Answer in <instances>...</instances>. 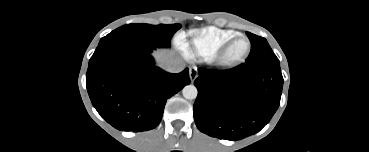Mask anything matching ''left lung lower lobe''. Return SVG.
Listing matches in <instances>:
<instances>
[{"label":"left lung lower lobe","instance_id":"0a47b994","mask_svg":"<svg viewBox=\"0 0 369 152\" xmlns=\"http://www.w3.org/2000/svg\"><path fill=\"white\" fill-rule=\"evenodd\" d=\"M194 120L212 137L240 140L259 132L279 107L280 64L243 63L228 70L199 68Z\"/></svg>","mask_w":369,"mask_h":152}]
</instances>
